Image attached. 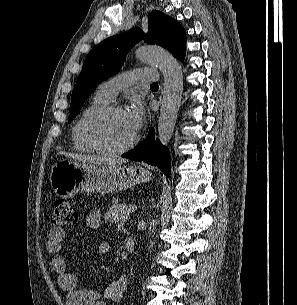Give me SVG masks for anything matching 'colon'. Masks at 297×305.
<instances>
[{"instance_id":"5ec220e1","label":"colon","mask_w":297,"mask_h":305,"mask_svg":"<svg viewBox=\"0 0 297 305\" xmlns=\"http://www.w3.org/2000/svg\"><path fill=\"white\" fill-rule=\"evenodd\" d=\"M77 214L73 206L64 199H58L53 206L51 223L56 228L72 226L77 222Z\"/></svg>"}]
</instances>
